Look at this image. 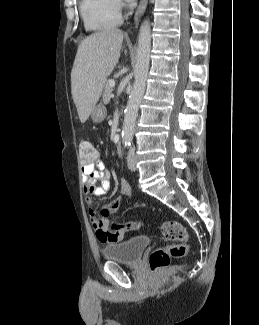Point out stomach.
Listing matches in <instances>:
<instances>
[{
	"label": "stomach",
	"mask_w": 259,
	"mask_h": 325,
	"mask_svg": "<svg viewBox=\"0 0 259 325\" xmlns=\"http://www.w3.org/2000/svg\"><path fill=\"white\" fill-rule=\"evenodd\" d=\"M105 117H106L105 106L103 104L95 105V107L93 108V110L91 112V118H92L93 122H95V123L102 122Z\"/></svg>",
	"instance_id": "obj_1"
}]
</instances>
